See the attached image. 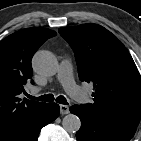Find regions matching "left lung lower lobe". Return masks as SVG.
<instances>
[{
	"mask_svg": "<svg viewBox=\"0 0 141 141\" xmlns=\"http://www.w3.org/2000/svg\"><path fill=\"white\" fill-rule=\"evenodd\" d=\"M70 111L81 120L77 141H129L137 128L107 119L86 105H73Z\"/></svg>",
	"mask_w": 141,
	"mask_h": 141,
	"instance_id": "left-lung-lower-lobe-1",
	"label": "left lung lower lobe"
}]
</instances>
